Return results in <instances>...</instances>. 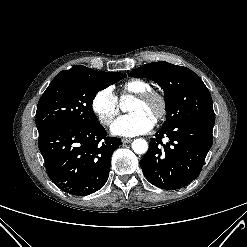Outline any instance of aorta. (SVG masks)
Returning a JSON list of instances; mask_svg holds the SVG:
<instances>
[{
  "label": "aorta",
  "mask_w": 247,
  "mask_h": 247,
  "mask_svg": "<svg viewBox=\"0 0 247 247\" xmlns=\"http://www.w3.org/2000/svg\"><path fill=\"white\" fill-rule=\"evenodd\" d=\"M126 101H127V98L126 97H122L121 98V104H120V107H121V110L122 111H126ZM132 149L135 153L137 154H144L145 152H147L148 150V143L145 139H135L133 142H132Z\"/></svg>",
  "instance_id": "1"
}]
</instances>
